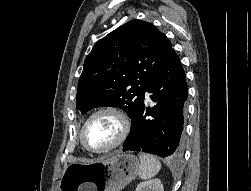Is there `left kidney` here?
Listing matches in <instances>:
<instances>
[{
  "label": "left kidney",
  "mask_w": 251,
  "mask_h": 191,
  "mask_svg": "<svg viewBox=\"0 0 251 191\" xmlns=\"http://www.w3.org/2000/svg\"><path fill=\"white\" fill-rule=\"evenodd\" d=\"M136 191H164L160 179H148V181H141L136 187Z\"/></svg>",
  "instance_id": "obj_1"
}]
</instances>
